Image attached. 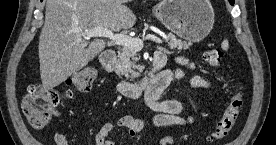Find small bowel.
Wrapping results in <instances>:
<instances>
[{
	"instance_id": "obj_1",
	"label": "small bowel",
	"mask_w": 276,
	"mask_h": 145,
	"mask_svg": "<svg viewBox=\"0 0 276 145\" xmlns=\"http://www.w3.org/2000/svg\"><path fill=\"white\" fill-rule=\"evenodd\" d=\"M176 61L182 65L190 64L189 61L183 57H177ZM164 72L169 77L170 81L174 78H180L182 75L178 70H166ZM192 84L194 87L201 88L209 86L208 81L200 76L192 78ZM162 92L163 90L152 89L144 94V100L147 107L155 112V116L151 121L126 115L116 122L105 123L94 135L95 145H115V143L110 140L109 135L111 131L117 127L125 129L131 139L136 142H141L142 132L151 125L156 127H172L189 123V119H185L181 116L183 111L182 103L176 99H161ZM54 142L56 145H68V139L62 132H56L54 134ZM172 142V138L167 136L163 139L162 145L172 144Z\"/></svg>"
}]
</instances>
